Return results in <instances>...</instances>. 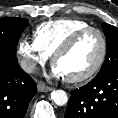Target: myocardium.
I'll return each mask as SVG.
<instances>
[{
	"label": "myocardium",
	"mask_w": 118,
	"mask_h": 118,
	"mask_svg": "<svg viewBox=\"0 0 118 118\" xmlns=\"http://www.w3.org/2000/svg\"><path fill=\"white\" fill-rule=\"evenodd\" d=\"M89 33H95L99 37L100 42H101L100 55L96 63L94 64V66L86 73L79 76H75V77L65 78V81L68 83H79V82H84L91 79L101 69V67L103 66L106 60L107 53H108L107 38L102 30H100L99 28L90 26V27H86L84 29L77 31L76 33L71 35L62 45H60L52 54V57H51L52 64H55L56 60L60 56L70 51L84 36H86Z\"/></svg>",
	"instance_id": "f54148a6"
}]
</instances>
